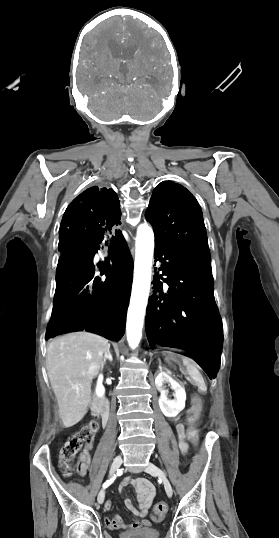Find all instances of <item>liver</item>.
<instances>
[{
	"instance_id": "1",
	"label": "liver",
	"mask_w": 279,
	"mask_h": 538,
	"mask_svg": "<svg viewBox=\"0 0 279 538\" xmlns=\"http://www.w3.org/2000/svg\"><path fill=\"white\" fill-rule=\"evenodd\" d=\"M108 342L89 332L65 334L50 342L47 348L48 378L65 428L75 426L87 414L92 380L100 372Z\"/></svg>"
}]
</instances>
